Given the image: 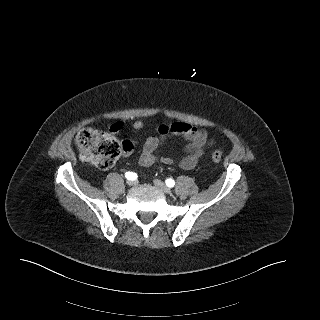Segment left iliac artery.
Segmentation results:
<instances>
[{"instance_id":"44dca946","label":"left iliac artery","mask_w":320,"mask_h":320,"mask_svg":"<svg viewBox=\"0 0 320 320\" xmlns=\"http://www.w3.org/2000/svg\"><path fill=\"white\" fill-rule=\"evenodd\" d=\"M165 183H166V185H167L168 187H173V186L175 185V181H174L173 179H171V178L166 179V180H165Z\"/></svg>"}]
</instances>
